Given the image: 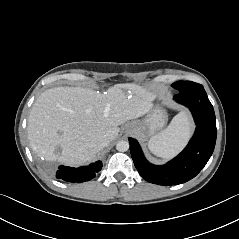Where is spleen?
Masks as SVG:
<instances>
[{"instance_id":"3e777b00","label":"spleen","mask_w":239,"mask_h":239,"mask_svg":"<svg viewBox=\"0 0 239 239\" xmlns=\"http://www.w3.org/2000/svg\"><path fill=\"white\" fill-rule=\"evenodd\" d=\"M191 132L190 117L186 111H181L165 130L149 140L148 148L157 157L170 159L185 146Z\"/></svg>"}]
</instances>
